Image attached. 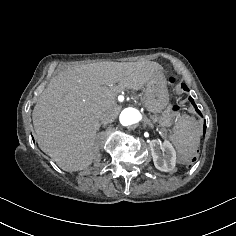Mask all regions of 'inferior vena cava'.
Wrapping results in <instances>:
<instances>
[{"instance_id":"602c4592","label":"inferior vena cava","mask_w":236,"mask_h":236,"mask_svg":"<svg viewBox=\"0 0 236 236\" xmlns=\"http://www.w3.org/2000/svg\"><path fill=\"white\" fill-rule=\"evenodd\" d=\"M94 116H95V118H97V119H98V118H100V116H101V115H100V113H98V112H97V113H95V115H94Z\"/></svg>"}]
</instances>
